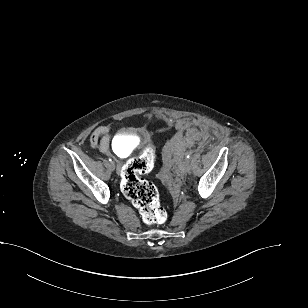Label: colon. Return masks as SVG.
<instances>
[{
    "label": "colon",
    "instance_id": "obj_1",
    "mask_svg": "<svg viewBox=\"0 0 308 308\" xmlns=\"http://www.w3.org/2000/svg\"><path fill=\"white\" fill-rule=\"evenodd\" d=\"M154 160V150L147 146L138 157L128 161L121 171V190L138 209L143 222L148 226L161 225L167 219L156 187L142 178L152 170Z\"/></svg>",
    "mask_w": 308,
    "mask_h": 308
}]
</instances>
